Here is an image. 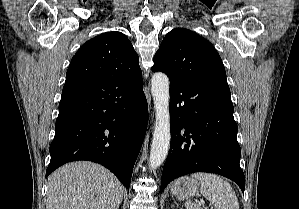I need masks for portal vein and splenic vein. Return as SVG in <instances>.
<instances>
[{
    "mask_svg": "<svg viewBox=\"0 0 299 209\" xmlns=\"http://www.w3.org/2000/svg\"><path fill=\"white\" fill-rule=\"evenodd\" d=\"M201 204H202V205H204V204H205V202H204V201H202V202H201ZM211 209H212V208H211Z\"/></svg>",
    "mask_w": 299,
    "mask_h": 209,
    "instance_id": "18ae733b",
    "label": "portal vein and splenic vein"
}]
</instances>
